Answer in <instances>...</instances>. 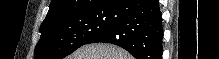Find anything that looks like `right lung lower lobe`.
Masks as SVG:
<instances>
[{"label": "right lung lower lobe", "mask_w": 219, "mask_h": 59, "mask_svg": "<svg viewBox=\"0 0 219 59\" xmlns=\"http://www.w3.org/2000/svg\"><path fill=\"white\" fill-rule=\"evenodd\" d=\"M116 21L89 43H111L136 59H161L162 17L158 0H120L113 8Z\"/></svg>", "instance_id": "1"}]
</instances>
